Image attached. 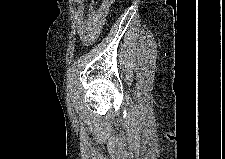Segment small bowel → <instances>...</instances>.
Returning <instances> with one entry per match:
<instances>
[{
  "label": "small bowel",
  "mask_w": 225,
  "mask_h": 159,
  "mask_svg": "<svg viewBox=\"0 0 225 159\" xmlns=\"http://www.w3.org/2000/svg\"><path fill=\"white\" fill-rule=\"evenodd\" d=\"M79 2L80 6L76 12L78 34L82 43L89 45L99 35L112 5V0L102 1L98 9H95L91 4L86 14L84 13L82 1Z\"/></svg>",
  "instance_id": "c3829d8e"
}]
</instances>
